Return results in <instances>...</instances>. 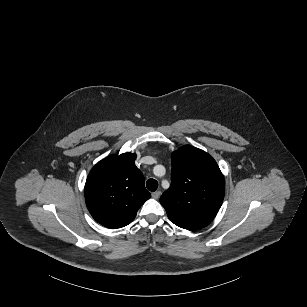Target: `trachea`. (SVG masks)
<instances>
[{"label": "trachea", "instance_id": "1", "mask_svg": "<svg viewBox=\"0 0 307 307\" xmlns=\"http://www.w3.org/2000/svg\"><path fill=\"white\" fill-rule=\"evenodd\" d=\"M146 187L149 191H155L158 187V183L156 180L154 179H149L147 182H146Z\"/></svg>", "mask_w": 307, "mask_h": 307}]
</instances>
